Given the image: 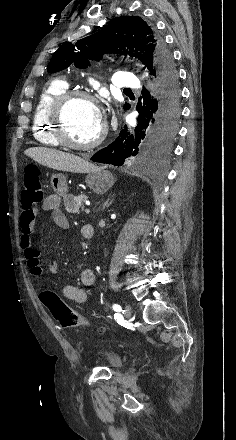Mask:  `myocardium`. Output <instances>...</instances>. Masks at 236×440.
Here are the masks:
<instances>
[{"label":"myocardium","instance_id":"obj_1","mask_svg":"<svg viewBox=\"0 0 236 440\" xmlns=\"http://www.w3.org/2000/svg\"><path fill=\"white\" fill-rule=\"evenodd\" d=\"M75 99H83L97 105L98 101L91 93L80 89H67L58 95L50 105L48 118L57 141L64 147L73 150H91L99 146L106 136V126L103 125L100 133L88 143H76L70 139L66 129L65 112L69 104Z\"/></svg>","mask_w":236,"mask_h":440}]
</instances>
